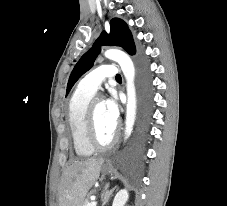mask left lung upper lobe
<instances>
[{"instance_id": "1", "label": "left lung upper lobe", "mask_w": 227, "mask_h": 206, "mask_svg": "<svg viewBox=\"0 0 227 206\" xmlns=\"http://www.w3.org/2000/svg\"><path fill=\"white\" fill-rule=\"evenodd\" d=\"M102 45L121 47L130 55L136 53L133 37L127 24L121 19L113 18L110 21V33L107 34L103 31L93 47L88 50L75 65L68 81L66 95L69 93L76 81L93 66L100 51V46Z\"/></svg>"}]
</instances>
